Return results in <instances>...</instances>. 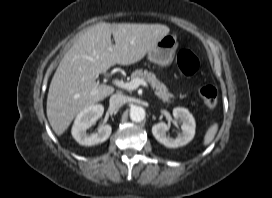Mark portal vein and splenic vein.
Instances as JSON below:
<instances>
[{"label":"portal vein and splenic vein","mask_w":272,"mask_h":198,"mask_svg":"<svg viewBox=\"0 0 272 198\" xmlns=\"http://www.w3.org/2000/svg\"><path fill=\"white\" fill-rule=\"evenodd\" d=\"M113 84L125 90H134V89H137L140 85L148 88V84L146 83V81L142 79H138V78L133 79L130 82H124L119 79H114Z\"/></svg>","instance_id":"18ae733b"}]
</instances>
